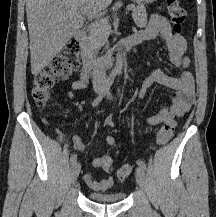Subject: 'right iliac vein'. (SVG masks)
Returning a JSON list of instances; mask_svg holds the SVG:
<instances>
[{
    "instance_id": "1",
    "label": "right iliac vein",
    "mask_w": 216,
    "mask_h": 217,
    "mask_svg": "<svg viewBox=\"0 0 216 217\" xmlns=\"http://www.w3.org/2000/svg\"><path fill=\"white\" fill-rule=\"evenodd\" d=\"M101 91H102L101 88L96 89V92H98V93H100ZM80 169H81L80 163L75 162L74 164H72L71 171H70V176H71L72 182H74L78 178L79 173H80Z\"/></svg>"
}]
</instances>
